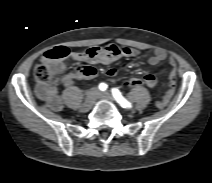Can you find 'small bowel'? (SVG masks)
Segmentation results:
<instances>
[{
  "label": "small bowel",
  "mask_w": 212,
  "mask_h": 183,
  "mask_svg": "<svg viewBox=\"0 0 212 183\" xmlns=\"http://www.w3.org/2000/svg\"><path fill=\"white\" fill-rule=\"evenodd\" d=\"M140 54V51L130 48V47H119L114 44H110L104 47H91L82 52H75L70 55V59L76 62H85L88 65L82 66L80 70H76L75 72L65 73L67 69L66 62H49V60L44 55L42 58L43 63H50V66L53 70L60 72V74H64L63 76V84L66 87L71 86L74 83L75 79L80 80H91L96 77L97 70L93 65H105L115 62L121 58H130L136 57ZM168 58L167 53L162 49H155L152 52V55L148 59V63L152 66L158 65L160 62L165 61ZM169 63L171 66V70L169 73V83L167 89L163 93V95L156 101V106L158 108H164L169 102L170 98L174 94L175 85H176V63L173 58H169ZM117 74V69L113 68L107 71L108 76H115ZM144 81L146 85L150 88H153L157 79L153 74H146L144 76ZM38 96L44 100L49 108L54 111L61 110L63 104L61 97L57 88L53 85L51 86H39L37 88Z\"/></svg>",
  "instance_id": "c3829d8e"
}]
</instances>
